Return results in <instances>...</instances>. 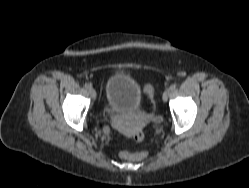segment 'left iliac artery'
Masks as SVG:
<instances>
[{
  "label": "left iliac artery",
  "instance_id": "1",
  "mask_svg": "<svg viewBox=\"0 0 249 188\" xmlns=\"http://www.w3.org/2000/svg\"><path fill=\"white\" fill-rule=\"evenodd\" d=\"M175 88H176V84H172V85L170 86V90H171V91L175 90Z\"/></svg>",
  "mask_w": 249,
  "mask_h": 188
}]
</instances>
